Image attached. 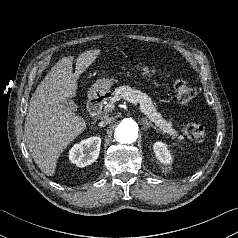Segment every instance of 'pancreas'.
I'll return each instance as SVG.
<instances>
[{
    "label": "pancreas",
    "instance_id": "cf45deb5",
    "mask_svg": "<svg viewBox=\"0 0 238 238\" xmlns=\"http://www.w3.org/2000/svg\"><path fill=\"white\" fill-rule=\"evenodd\" d=\"M133 99L140 104L141 111L164 133L172 136V138H178L182 140L183 137L177 134V131L172 128V123L168 122L162 117V115L155 109L151 98L146 94L137 89L131 88L130 86H119L113 92V97L110 98L109 103L105 106L103 113L109 112L115 102L121 99Z\"/></svg>",
    "mask_w": 238,
    "mask_h": 238
}]
</instances>
